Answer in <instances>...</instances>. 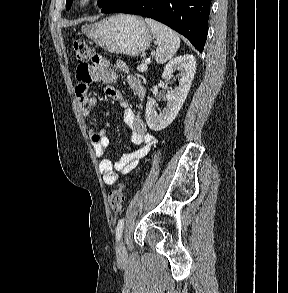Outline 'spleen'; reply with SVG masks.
<instances>
[{"instance_id":"3e777b00","label":"spleen","mask_w":288,"mask_h":293,"mask_svg":"<svg viewBox=\"0 0 288 293\" xmlns=\"http://www.w3.org/2000/svg\"><path fill=\"white\" fill-rule=\"evenodd\" d=\"M145 21L156 38V43L158 45L156 49V62L163 64L169 61L180 47L178 34L166 25L152 19L146 18Z\"/></svg>"}]
</instances>
